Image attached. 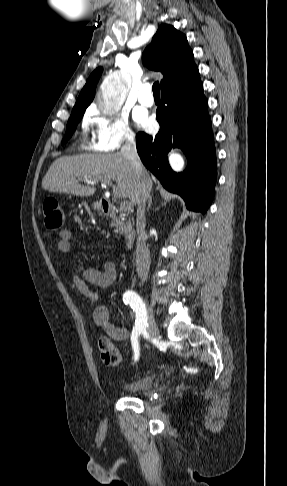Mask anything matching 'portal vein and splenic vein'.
<instances>
[{
  "mask_svg": "<svg viewBox=\"0 0 287 486\" xmlns=\"http://www.w3.org/2000/svg\"><path fill=\"white\" fill-rule=\"evenodd\" d=\"M99 181H101L103 184H108V185H112L111 182L109 181H106V180H94V181H86L87 183H90V184H96L98 183ZM120 207L122 210L124 211H129L131 209V205L130 203H128L127 201H122L120 203Z\"/></svg>",
  "mask_w": 287,
  "mask_h": 486,
  "instance_id": "1",
  "label": "portal vein and splenic vein"
}]
</instances>
